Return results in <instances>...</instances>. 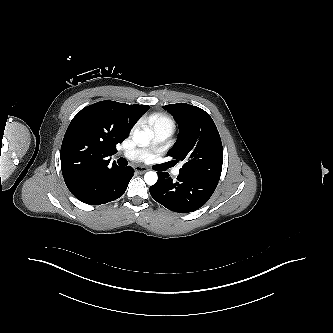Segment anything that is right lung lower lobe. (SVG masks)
Instances as JSON below:
<instances>
[{
    "mask_svg": "<svg viewBox=\"0 0 333 333\" xmlns=\"http://www.w3.org/2000/svg\"><path fill=\"white\" fill-rule=\"evenodd\" d=\"M132 176V167L116 166L91 177L73 195L86 204H105L124 194Z\"/></svg>",
    "mask_w": 333,
    "mask_h": 333,
    "instance_id": "right-lung-lower-lobe-1",
    "label": "right lung lower lobe"
}]
</instances>
